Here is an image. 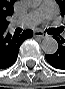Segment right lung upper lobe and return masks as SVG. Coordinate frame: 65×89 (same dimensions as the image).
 <instances>
[{"mask_svg": "<svg viewBox=\"0 0 65 89\" xmlns=\"http://www.w3.org/2000/svg\"><path fill=\"white\" fill-rule=\"evenodd\" d=\"M16 0H0V29H6L9 22L7 17L13 14V5Z\"/></svg>", "mask_w": 65, "mask_h": 89, "instance_id": "right-lung-upper-lobe-1", "label": "right lung upper lobe"}]
</instances>
